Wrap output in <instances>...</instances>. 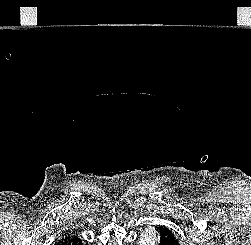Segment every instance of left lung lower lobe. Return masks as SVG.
Here are the masks:
<instances>
[{
    "label": "left lung lower lobe",
    "mask_w": 251,
    "mask_h": 245,
    "mask_svg": "<svg viewBox=\"0 0 251 245\" xmlns=\"http://www.w3.org/2000/svg\"><path fill=\"white\" fill-rule=\"evenodd\" d=\"M158 245H179L175 235L165 226H157L155 229Z\"/></svg>",
    "instance_id": "left-lung-lower-lobe-1"
}]
</instances>
